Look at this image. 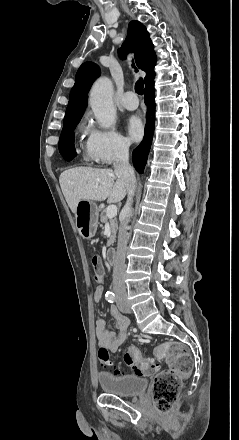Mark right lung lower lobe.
Here are the masks:
<instances>
[{"instance_id": "1", "label": "right lung lower lobe", "mask_w": 239, "mask_h": 440, "mask_svg": "<svg viewBox=\"0 0 239 440\" xmlns=\"http://www.w3.org/2000/svg\"><path fill=\"white\" fill-rule=\"evenodd\" d=\"M154 76H149L145 80V103L147 105L146 126L143 141L133 150V164L139 173H143L147 162L150 146L152 143L154 125H155V99H154ZM63 158L70 161L76 156L75 148L61 153Z\"/></svg>"}]
</instances>
